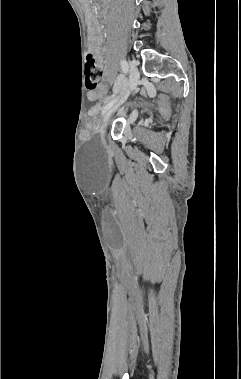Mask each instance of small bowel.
Segmentation results:
<instances>
[{
	"mask_svg": "<svg viewBox=\"0 0 241 379\" xmlns=\"http://www.w3.org/2000/svg\"><path fill=\"white\" fill-rule=\"evenodd\" d=\"M91 43H92L91 51L94 55H96L99 65L102 66V62L99 57L100 47H101V37L95 28H93L92 30ZM86 93H88V97L90 100H95L97 96L99 95V93L97 92V86H86ZM93 114H95V111L93 112Z\"/></svg>",
	"mask_w": 241,
	"mask_h": 379,
	"instance_id": "1",
	"label": "small bowel"
}]
</instances>
